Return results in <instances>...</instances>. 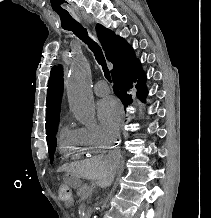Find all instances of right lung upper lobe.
<instances>
[{"mask_svg": "<svg viewBox=\"0 0 211 218\" xmlns=\"http://www.w3.org/2000/svg\"><path fill=\"white\" fill-rule=\"evenodd\" d=\"M98 39L104 49L108 61L114 67L134 56L131 46L121 37L100 24L96 26ZM113 70V69H112ZM63 94V77L61 66H54L51 70L47 90L46 133L52 132L59 121L61 98Z\"/></svg>", "mask_w": 211, "mask_h": 218, "instance_id": "cb5924a9", "label": "right lung upper lobe"}]
</instances>
